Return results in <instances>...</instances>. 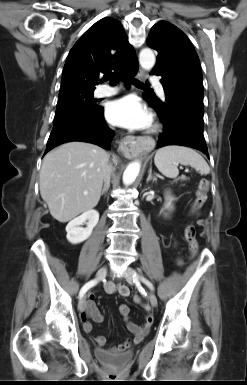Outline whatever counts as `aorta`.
Instances as JSON below:
<instances>
[{
    "label": "aorta",
    "instance_id": "762f6f07",
    "mask_svg": "<svg viewBox=\"0 0 247 385\" xmlns=\"http://www.w3.org/2000/svg\"><path fill=\"white\" fill-rule=\"evenodd\" d=\"M156 62L153 51L149 48H144L139 54V63L145 70H151ZM140 163L138 161L131 162L123 173V183L125 185L132 184L140 171Z\"/></svg>",
    "mask_w": 247,
    "mask_h": 385
}]
</instances>
